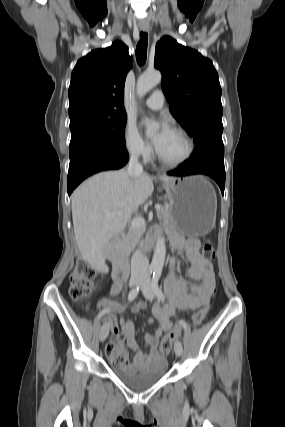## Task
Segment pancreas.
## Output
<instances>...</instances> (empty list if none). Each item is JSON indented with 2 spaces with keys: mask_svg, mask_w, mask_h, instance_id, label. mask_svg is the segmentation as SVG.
<instances>
[{
  "mask_svg": "<svg viewBox=\"0 0 285 427\" xmlns=\"http://www.w3.org/2000/svg\"><path fill=\"white\" fill-rule=\"evenodd\" d=\"M170 216H171V213H170V207L168 204L162 205L161 208L157 210V217L159 218V220L165 223L169 222ZM144 232H145V225L131 226L125 239V245L129 249H133L137 245L139 239L142 237Z\"/></svg>",
  "mask_w": 285,
  "mask_h": 427,
  "instance_id": "cf45deb5",
  "label": "pancreas"
}]
</instances>
